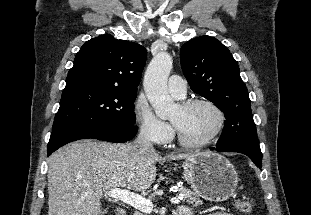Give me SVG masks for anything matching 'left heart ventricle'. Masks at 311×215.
<instances>
[{
	"mask_svg": "<svg viewBox=\"0 0 311 215\" xmlns=\"http://www.w3.org/2000/svg\"><path fill=\"white\" fill-rule=\"evenodd\" d=\"M171 122L187 141L199 142L207 138L216 128L218 117L207 105H194L182 109L177 105L170 116Z\"/></svg>",
	"mask_w": 311,
	"mask_h": 215,
	"instance_id": "1",
	"label": "left heart ventricle"
}]
</instances>
